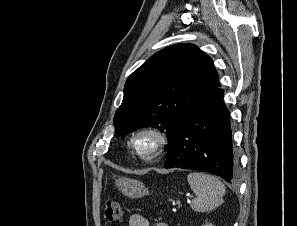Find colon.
Segmentation results:
<instances>
[{
  "mask_svg": "<svg viewBox=\"0 0 297 226\" xmlns=\"http://www.w3.org/2000/svg\"><path fill=\"white\" fill-rule=\"evenodd\" d=\"M121 207L117 201L109 200L104 209V219L108 223H115L121 220Z\"/></svg>",
  "mask_w": 297,
  "mask_h": 226,
  "instance_id": "1",
  "label": "colon"
}]
</instances>
